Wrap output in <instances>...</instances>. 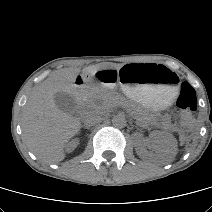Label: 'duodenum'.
I'll return each mask as SVG.
<instances>
[{
  "mask_svg": "<svg viewBox=\"0 0 212 212\" xmlns=\"http://www.w3.org/2000/svg\"><path fill=\"white\" fill-rule=\"evenodd\" d=\"M89 80L85 78H79L75 85V96L78 100H81L85 93L87 88L89 87Z\"/></svg>",
  "mask_w": 212,
  "mask_h": 212,
  "instance_id": "410a0bca",
  "label": "duodenum"
}]
</instances>
